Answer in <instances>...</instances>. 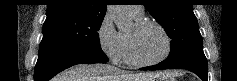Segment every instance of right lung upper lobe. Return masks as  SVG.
<instances>
[{
	"label": "right lung upper lobe",
	"instance_id": "right-lung-upper-lobe-1",
	"mask_svg": "<svg viewBox=\"0 0 237 81\" xmlns=\"http://www.w3.org/2000/svg\"><path fill=\"white\" fill-rule=\"evenodd\" d=\"M108 0H51L47 8V18L57 16L103 17Z\"/></svg>",
	"mask_w": 237,
	"mask_h": 81
}]
</instances>
